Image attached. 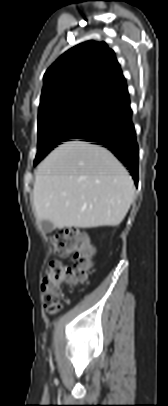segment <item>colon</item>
Returning a JSON list of instances; mask_svg holds the SVG:
<instances>
[{
  "label": "colon",
  "instance_id": "obj_1",
  "mask_svg": "<svg viewBox=\"0 0 168 406\" xmlns=\"http://www.w3.org/2000/svg\"><path fill=\"white\" fill-rule=\"evenodd\" d=\"M54 253L59 257L73 255L74 265L69 266L54 260L49 262L41 282L45 309L50 314L58 312L63 288L88 282L93 271L94 250L87 237L77 229H62L53 239Z\"/></svg>",
  "mask_w": 168,
  "mask_h": 406
}]
</instances>
